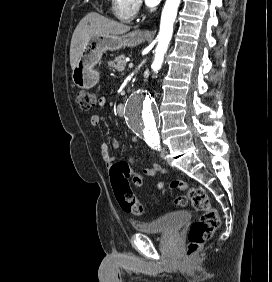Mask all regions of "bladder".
Masks as SVG:
<instances>
[{
  "label": "bladder",
  "mask_w": 272,
  "mask_h": 282,
  "mask_svg": "<svg viewBox=\"0 0 272 282\" xmlns=\"http://www.w3.org/2000/svg\"><path fill=\"white\" fill-rule=\"evenodd\" d=\"M189 218V212L181 210L152 221L133 220L132 225L135 230L144 234H169L177 232Z\"/></svg>",
  "instance_id": "obj_1"
}]
</instances>
